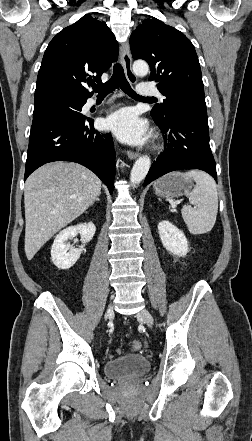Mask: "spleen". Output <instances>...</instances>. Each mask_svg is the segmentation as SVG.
Listing matches in <instances>:
<instances>
[{
	"mask_svg": "<svg viewBox=\"0 0 252 441\" xmlns=\"http://www.w3.org/2000/svg\"><path fill=\"white\" fill-rule=\"evenodd\" d=\"M173 175L193 179L196 182L195 188L191 192H186L194 208L183 206L181 210L189 232L193 235L209 232L215 224L218 212V195L214 179L198 170L177 172Z\"/></svg>",
	"mask_w": 252,
	"mask_h": 441,
	"instance_id": "3e777b00",
	"label": "spleen"
}]
</instances>
